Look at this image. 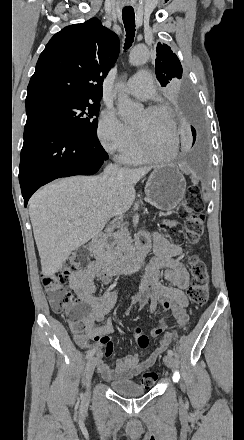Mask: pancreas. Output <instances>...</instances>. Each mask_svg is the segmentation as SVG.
Listing matches in <instances>:
<instances>
[{
    "label": "pancreas",
    "mask_w": 244,
    "mask_h": 440,
    "mask_svg": "<svg viewBox=\"0 0 244 440\" xmlns=\"http://www.w3.org/2000/svg\"><path fill=\"white\" fill-rule=\"evenodd\" d=\"M109 240H103L95 250V256L98 260L104 262H120L123 258V252H127L132 244L131 236L128 230H118L114 234H108Z\"/></svg>",
    "instance_id": "obj_1"
}]
</instances>
